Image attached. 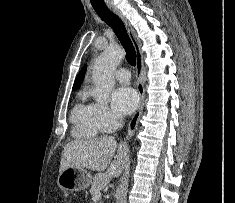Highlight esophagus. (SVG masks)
<instances>
[{
    "label": "esophagus",
    "mask_w": 235,
    "mask_h": 203,
    "mask_svg": "<svg viewBox=\"0 0 235 203\" xmlns=\"http://www.w3.org/2000/svg\"><path fill=\"white\" fill-rule=\"evenodd\" d=\"M108 8L116 14L124 23L128 35L133 43V46L136 51V76H137V91L139 93L140 101L139 106L132 116L129 124H128V130L126 135V140H130L132 136L134 135L139 119L142 115L144 104H145V90H144V74H143V53L141 51V44L139 40L137 39L133 29L131 28L130 24L126 20V18L122 15V13L116 8L115 5L112 3L107 4Z\"/></svg>",
    "instance_id": "obj_1"
}]
</instances>
